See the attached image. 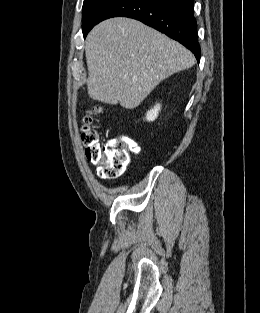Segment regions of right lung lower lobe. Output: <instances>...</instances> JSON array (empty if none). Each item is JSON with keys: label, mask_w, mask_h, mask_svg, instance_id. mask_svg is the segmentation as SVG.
I'll list each match as a JSON object with an SVG mask.
<instances>
[{"label": "right lung lower lobe", "mask_w": 260, "mask_h": 313, "mask_svg": "<svg viewBox=\"0 0 260 313\" xmlns=\"http://www.w3.org/2000/svg\"><path fill=\"white\" fill-rule=\"evenodd\" d=\"M194 0H117L99 19L129 17L175 39L191 50L200 61Z\"/></svg>", "instance_id": "1"}]
</instances>
